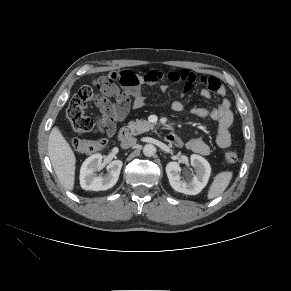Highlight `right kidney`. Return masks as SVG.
<instances>
[{
    "instance_id": "obj_1",
    "label": "right kidney",
    "mask_w": 291,
    "mask_h": 291,
    "mask_svg": "<svg viewBox=\"0 0 291 291\" xmlns=\"http://www.w3.org/2000/svg\"><path fill=\"white\" fill-rule=\"evenodd\" d=\"M102 155L94 154L88 157L80 169V185L85 190L103 191L113 187L118 181L122 168V161L114 160L107 166L108 173L103 176H97L96 171L100 169Z\"/></svg>"
}]
</instances>
